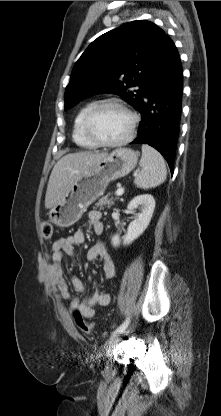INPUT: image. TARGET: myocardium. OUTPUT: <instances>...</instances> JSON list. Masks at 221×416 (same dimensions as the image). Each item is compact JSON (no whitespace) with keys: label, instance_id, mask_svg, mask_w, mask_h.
<instances>
[{"label":"myocardium","instance_id":"f54148a6","mask_svg":"<svg viewBox=\"0 0 221 416\" xmlns=\"http://www.w3.org/2000/svg\"><path fill=\"white\" fill-rule=\"evenodd\" d=\"M108 106H116L121 108L122 110H124L131 119V124H130V129L128 134L117 141H105L100 139L93 131L92 129V123L94 118L96 117V115L105 107ZM139 123V117L137 115V113L130 108L127 104H125L124 102H122L121 100L118 99H106L103 101L98 102L95 106H93V108L87 113L84 122H83V128H84V132L86 134V136L93 142L95 143L97 146H103V147H120L123 146L127 143H129L135 136L136 134V130H137V126Z\"/></svg>","mask_w":221,"mask_h":416}]
</instances>
